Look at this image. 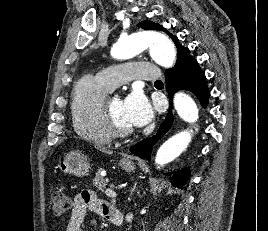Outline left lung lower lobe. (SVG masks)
I'll return each mask as SVG.
<instances>
[{
    "label": "left lung lower lobe",
    "instance_id": "obj_1",
    "mask_svg": "<svg viewBox=\"0 0 268 231\" xmlns=\"http://www.w3.org/2000/svg\"><path fill=\"white\" fill-rule=\"evenodd\" d=\"M166 88L172 106L173 95L178 90L191 91L200 101L201 105L205 107L208 103L209 89L207 87L206 77L200 69L197 60L193 57L186 60L183 66L176 70L166 71ZM173 115L170 111L161 124L156 136L143 140L130 148V151L141 157L150 159L152 146L157 142L172 126ZM189 170H181L175 172L172 176V183L181 188L189 179Z\"/></svg>",
    "mask_w": 268,
    "mask_h": 231
}]
</instances>
